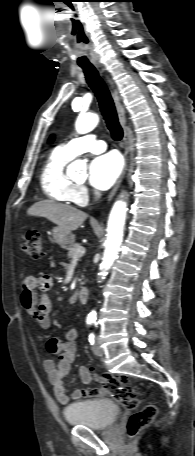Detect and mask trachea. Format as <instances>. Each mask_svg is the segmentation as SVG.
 I'll return each mask as SVG.
<instances>
[{
	"label": "trachea",
	"instance_id": "obj_1",
	"mask_svg": "<svg viewBox=\"0 0 195 456\" xmlns=\"http://www.w3.org/2000/svg\"><path fill=\"white\" fill-rule=\"evenodd\" d=\"M82 69L84 71L87 83L98 99L100 110L107 124V127L111 132L112 138L115 141L121 140L123 137V130L118 122L115 106L105 82L99 76L98 71L95 67L83 66Z\"/></svg>",
	"mask_w": 195,
	"mask_h": 456
}]
</instances>
